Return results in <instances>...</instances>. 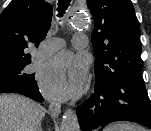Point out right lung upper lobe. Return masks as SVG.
Returning a JSON list of instances; mask_svg holds the SVG:
<instances>
[{
	"label": "right lung upper lobe",
	"instance_id": "obj_1",
	"mask_svg": "<svg viewBox=\"0 0 151 131\" xmlns=\"http://www.w3.org/2000/svg\"><path fill=\"white\" fill-rule=\"evenodd\" d=\"M52 6L45 0H12L0 15V56H22L46 37Z\"/></svg>",
	"mask_w": 151,
	"mask_h": 131
}]
</instances>
